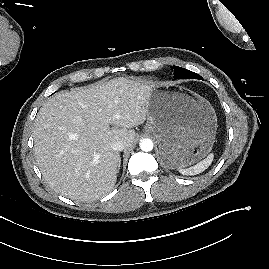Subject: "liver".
I'll return each mask as SVG.
<instances>
[{
  "label": "liver",
  "instance_id": "obj_1",
  "mask_svg": "<svg viewBox=\"0 0 269 269\" xmlns=\"http://www.w3.org/2000/svg\"><path fill=\"white\" fill-rule=\"evenodd\" d=\"M153 87L118 77L50 98L33 129L37 165L49 187L79 202L111 192L121 162L111 145L122 140L125 148L132 147V128L146 120Z\"/></svg>",
  "mask_w": 269,
  "mask_h": 269
}]
</instances>
